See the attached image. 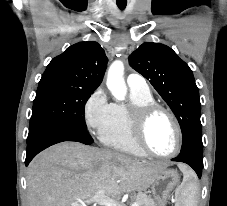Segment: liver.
<instances>
[{
  "instance_id": "obj_1",
  "label": "liver",
  "mask_w": 227,
  "mask_h": 206,
  "mask_svg": "<svg viewBox=\"0 0 227 206\" xmlns=\"http://www.w3.org/2000/svg\"><path fill=\"white\" fill-rule=\"evenodd\" d=\"M167 167L162 162L140 161L107 149L62 142L38 154L28 166V204L70 206L100 190L105 197L145 190Z\"/></svg>"
}]
</instances>
